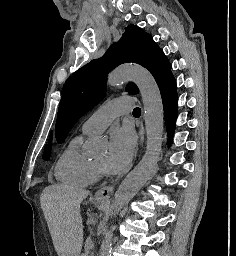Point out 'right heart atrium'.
Listing matches in <instances>:
<instances>
[{
    "mask_svg": "<svg viewBox=\"0 0 236 256\" xmlns=\"http://www.w3.org/2000/svg\"><path fill=\"white\" fill-rule=\"evenodd\" d=\"M102 178L101 171L95 166V173H94V182L98 181Z\"/></svg>",
    "mask_w": 236,
    "mask_h": 256,
    "instance_id": "right-heart-atrium-1",
    "label": "right heart atrium"
}]
</instances>
